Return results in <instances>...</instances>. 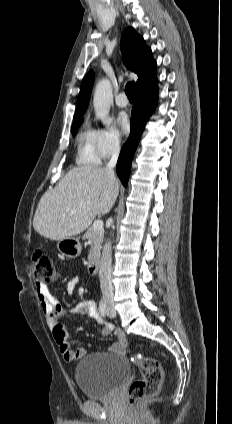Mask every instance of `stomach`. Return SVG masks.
I'll return each mask as SVG.
<instances>
[{
  "instance_id": "stomach-1",
  "label": "stomach",
  "mask_w": 232,
  "mask_h": 424,
  "mask_svg": "<svg viewBox=\"0 0 232 424\" xmlns=\"http://www.w3.org/2000/svg\"><path fill=\"white\" fill-rule=\"evenodd\" d=\"M57 248L65 257L74 259L80 255L82 246L79 238L72 236L59 240Z\"/></svg>"
}]
</instances>
